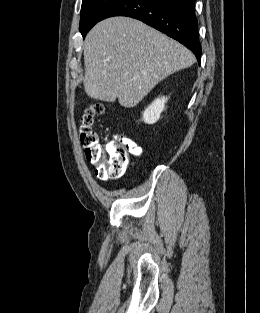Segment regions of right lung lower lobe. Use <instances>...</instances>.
Listing matches in <instances>:
<instances>
[{"mask_svg":"<svg viewBox=\"0 0 260 313\" xmlns=\"http://www.w3.org/2000/svg\"><path fill=\"white\" fill-rule=\"evenodd\" d=\"M112 16L139 19L189 48L201 60L195 0H117L99 21Z\"/></svg>","mask_w":260,"mask_h":313,"instance_id":"right-lung-lower-lobe-1","label":"right lung lower lobe"}]
</instances>
